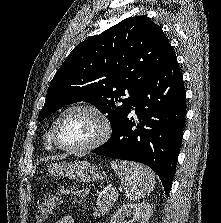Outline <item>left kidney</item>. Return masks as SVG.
I'll return each instance as SVG.
<instances>
[{
	"label": "left kidney",
	"mask_w": 221,
	"mask_h": 223,
	"mask_svg": "<svg viewBox=\"0 0 221 223\" xmlns=\"http://www.w3.org/2000/svg\"><path fill=\"white\" fill-rule=\"evenodd\" d=\"M151 206L147 202L138 204H127L119 208L112 216L109 223H148L151 216ZM133 216L130 221H125L124 218Z\"/></svg>",
	"instance_id": "1"
}]
</instances>
